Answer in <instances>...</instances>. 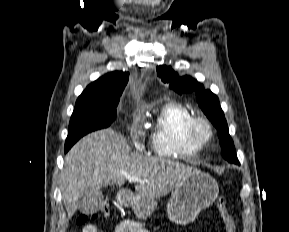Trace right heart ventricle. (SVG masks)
I'll return each instance as SVG.
<instances>
[{
  "mask_svg": "<svg viewBox=\"0 0 289 232\" xmlns=\"http://www.w3.org/2000/svg\"><path fill=\"white\" fill-rule=\"evenodd\" d=\"M192 113L179 103L165 104L157 114L150 143L159 156L180 157L196 154L200 146L186 135V125Z\"/></svg>",
  "mask_w": 289,
  "mask_h": 232,
  "instance_id": "obj_1",
  "label": "right heart ventricle"
}]
</instances>
